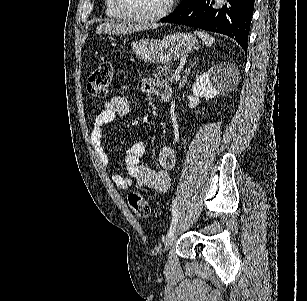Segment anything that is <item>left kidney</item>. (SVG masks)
<instances>
[{
    "instance_id": "1",
    "label": "left kidney",
    "mask_w": 307,
    "mask_h": 301,
    "mask_svg": "<svg viewBox=\"0 0 307 301\" xmlns=\"http://www.w3.org/2000/svg\"><path fill=\"white\" fill-rule=\"evenodd\" d=\"M237 78L238 70L235 64H232V62H219V64H214L209 70L196 78L192 92L194 96L215 98L217 94L231 90Z\"/></svg>"
}]
</instances>
